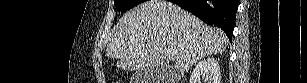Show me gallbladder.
Returning a JSON list of instances; mask_svg holds the SVG:
<instances>
[{
	"instance_id": "bac80fb5",
	"label": "gallbladder",
	"mask_w": 307,
	"mask_h": 83,
	"mask_svg": "<svg viewBox=\"0 0 307 83\" xmlns=\"http://www.w3.org/2000/svg\"><path fill=\"white\" fill-rule=\"evenodd\" d=\"M163 77H168L169 81H162ZM133 80L135 83H171V78L167 71H162L157 68H147L141 71H137L133 75Z\"/></svg>"
}]
</instances>
